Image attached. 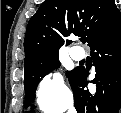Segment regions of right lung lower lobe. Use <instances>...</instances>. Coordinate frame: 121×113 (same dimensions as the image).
Wrapping results in <instances>:
<instances>
[{
    "mask_svg": "<svg viewBox=\"0 0 121 113\" xmlns=\"http://www.w3.org/2000/svg\"><path fill=\"white\" fill-rule=\"evenodd\" d=\"M96 75L95 94L84 90L88 71L77 67L72 70L69 82L74 93L78 113H118L121 107V26L111 34L90 45Z\"/></svg>",
    "mask_w": 121,
    "mask_h": 113,
    "instance_id": "98d812e1",
    "label": "right lung lower lobe"
}]
</instances>
